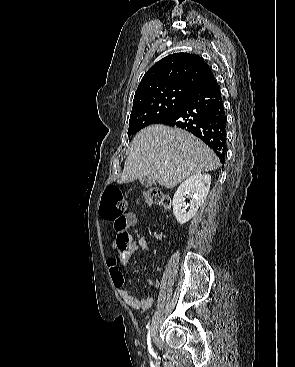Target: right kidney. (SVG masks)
Here are the masks:
<instances>
[{"label": "right kidney", "mask_w": 295, "mask_h": 367, "mask_svg": "<svg viewBox=\"0 0 295 367\" xmlns=\"http://www.w3.org/2000/svg\"><path fill=\"white\" fill-rule=\"evenodd\" d=\"M211 184V176L209 174H194L186 179L178 187L173 197V214L178 223L185 224L196 214L198 208L204 202L208 195ZM189 195L191 198L188 211L184 203V196Z\"/></svg>", "instance_id": "obj_1"}]
</instances>
